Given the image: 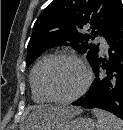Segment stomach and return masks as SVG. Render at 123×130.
<instances>
[{
    "instance_id": "1",
    "label": "stomach",
    "mask_w": 123,
    "mask_h": 130,
    "mask_svg": "<svg viewBox=\"0 0 123 130\" xmlns=\"http://www.w3.org/2000/svg\"><path fill=\"white\" fill-rule=\"evenodd\" d=\"M95 122L91 118L68 119L58 123L49 130H94ZM23 130H31L25 128Z\"/></svg>"
}]
</instances>
